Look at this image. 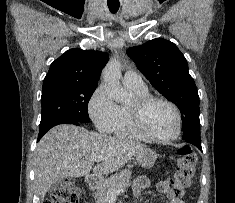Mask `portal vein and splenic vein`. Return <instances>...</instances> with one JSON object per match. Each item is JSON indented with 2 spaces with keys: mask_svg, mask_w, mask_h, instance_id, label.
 <instances>
[{
  "mask_svg": "<svg viewBox=\"0 0 235 203\" xmlns=\"http://www.w3.org/2000/svg\"><path fill=\"white\" fill-rule=\"evenodd\" d=\"M95 161H96V162H101V161H102V157H97V158L95 159ZM123 192H124V189H120V190H117V191H112V192H109V193H108V197H109V199H110L111 201H113V200H116L117 195H119V194H121V193H123Z\"/></svg>",
  "mask_w": 235,
  "mask_h": 203,
  "instance_id": "obj_1",
  "label": "portal vein and splenic vein"
}]
</instances>
